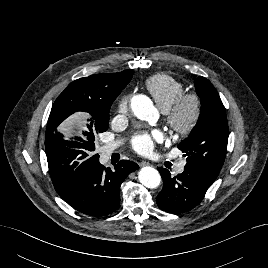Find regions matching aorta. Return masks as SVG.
I'll list each match as a JSON object with an SVG mask.
<instances>
[{
  "mask_svg": "<svg viewBox=\"0 0 268 268\" xmlns=\"http://www.w3.org/2000/svg\"><path fill=\"white\" fill-rule=\"evenodd\" d=\"M131 109L135 116L141 120L155 123L158 119V111L152 101L145 95H136L131 100ZM139 181L147 188H156L161 183L159 172L149 166L143 167L138 174Z\"/></svg>",
  "mask_w": 268,
  "mask_h": 268,
  "instance_id": "762f6f07",
  "label": "aorta"
}]
</instances>
